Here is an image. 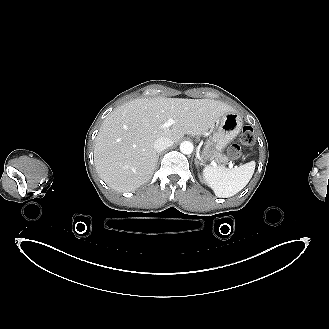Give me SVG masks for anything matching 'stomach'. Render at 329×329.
<instances>
[{
	"instance_id": "stomach-1",
	"label": "stomach",
	"mask_w": 329,
	"mask_h": 329,
	"mask_svg": "<svg viewBox=\"0 0 329 329\" xmlns=\"http://www.w3.org/2000/svg\"><path fill=\"white\" fill-rule=\"evenodd\" d=\"M243 120L236 111L225 114L219 121L218 130L214 133V147L207 148L200 157L201 161L215 159L216 161L225 162L226 156L222 154L226 145L232 141L241 131Z\"/></svg>"
}]
</instances>
